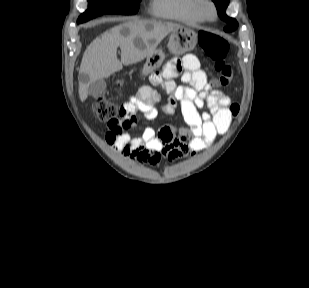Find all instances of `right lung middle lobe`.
<instances>
[{"mask_svg":"<svg viewBox=\"0 0 309 288\" xmlns=\"http://www.w3.org/2000/svg\"><path fill=\"white\" fill-rule=\"evenodd\" d=\"M141 0H88L89 8L77 20L86 22L102 14H136Z\"/></svg>","mask_w":309,"mask_h":288,"instance_id":"1","label":"right lung middle lobe"}]
</instances>
